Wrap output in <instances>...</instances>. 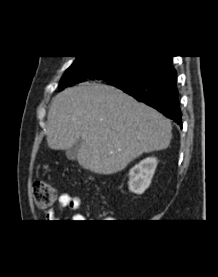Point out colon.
<instances>
[{
    "instance_id": "5ec220e1",
    "label": "colon",
    "mask_w": 218,
    "mask_h": 277,
    "mask_svg": "<svg viewBox=\"0 0 218 277\" xmlns=\"http://www.w3.org/2000/svg\"><path fill=\"white\" fill-rule=\"evenodd\" d=\"M57 192L55 187L45 181H37L33 185V197L37 207L48 208L56 200Z\"/></svg>"
}]
</instances>
